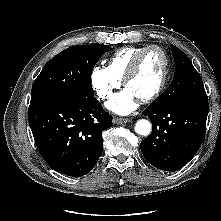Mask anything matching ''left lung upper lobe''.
<instances>
[{"label":"left lung upper lobe","instance_id":"obj_1","mask_svg":"<svg viewBox=\"0 0 221 221\" xmlns=\"http://www.w3.org/2000/svg\"><path fill=\"white\" fill-rule=\"evenodd\" d=\"M175 58V75L168 89L157 97L149 107L180 101H206L207 95L203 81L188 57L177 47L171 45Z\"/></svg>","mask_w":221,"mask_h":221}]
</instances>
